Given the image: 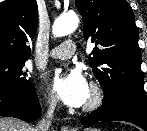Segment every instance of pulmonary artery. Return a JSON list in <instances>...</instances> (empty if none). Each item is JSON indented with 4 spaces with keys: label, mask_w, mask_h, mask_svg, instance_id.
<instances>
[{
    "label": "pulmonary artery",
    "mask_w": 147,
    "mask_h": 131,
    "mask_svg": "<svg viewBox=\"0 0 147 131\" xmlns=\"http://www.w3.org/2000/svg\"><path fill=\"white\" fill-rule=\"evenodd\" d=\"M75 51V42L72 40H66L51 50L50 57L65 60L71 58L74 55Z\"/></svg>",
    "instance_id": "obj_1"
}]
</instances>
